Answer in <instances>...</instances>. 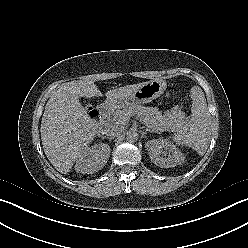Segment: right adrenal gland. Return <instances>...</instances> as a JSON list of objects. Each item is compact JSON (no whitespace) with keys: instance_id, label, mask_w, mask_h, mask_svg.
Here are the masks:
<instances>
[{"instance_id":"1","label":"right adrenal gland","mask_w":248,"mask_h":248,"mask_svg":"<svg viewBox=\"0 0 248 248\" xmlns=\"http://www.w3.org/2000/svg\"><path fill=\"white\" fill-rule=\"evenodd\" d=\"M104 138H108V137H106V136H105ZM108 140H109V141H111V140H112V138H108Z\"/></svg>"}]
</instances>
